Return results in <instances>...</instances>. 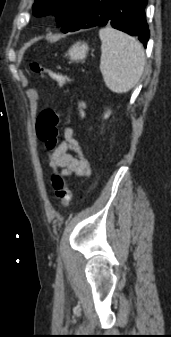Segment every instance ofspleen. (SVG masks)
<instances>
[{
	"mask_svg": "<svg viewBox=\"0 0 171 337\" xmlns=\"http://www.w3.org/2000/svg\"><path fill=\"white\" fill-rule=\"evenodd\" d=\"M100 71L106 86L115 93L130 91L139 81L145 66V53L135 38L113 29H100Z\"/></svg>",
	"mask_w": 171,
	"mask_h": 337,
	"instance_id": "3e777b00",
	"label": "spleen"
}]
</instances>
